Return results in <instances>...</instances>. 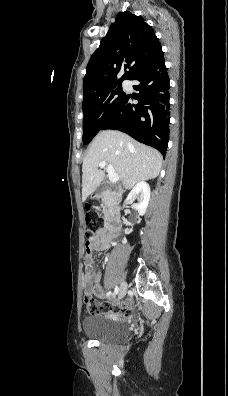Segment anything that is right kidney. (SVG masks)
Returning <instances> with one entry per match:
<instances>
[{
    "label": "right kidney",
    "instance_id": "1",
    "mask_svg": "<svg viewBox=\"0 0 228 396\" xmlns=\"http://www.w3.org/2000/svg\"><path fill=\"white\" fill-rule=\"evenodd\" d=\"M138 199V204H133V207L138 211L139 215H144L150 200V186L144 181L137 183L129 195L126 203H132L134 199Z\"/></svg>",
    "mask_w": 228,
    "mask_h": 396
}]
</instances>
